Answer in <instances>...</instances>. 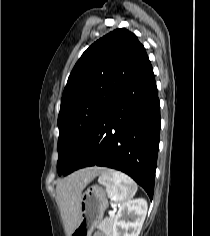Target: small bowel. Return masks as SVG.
<instances>
[{"label":"small bowel","instance_id":"1","mask_svg":"<svg viewBox=\"0 0 210 236\" xmlns=\"http://www.w3.org/2000/svg\"><path fill=\"white\" fill-rule=\"evenodd\" d=\"M94 236H104V235L101 234V233H97V234H95Z\"/></svg>","mask_w":210,"mask_h":236}]
</instances>
